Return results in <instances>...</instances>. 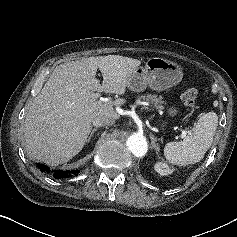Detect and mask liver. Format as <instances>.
I'll use <instances>...</instances> for the list:
<instances>
[{
    "label": "liver",
    "mask_w": 237,
    "mask_h": 237,
    "mask_svg": "<svg viewBox=\"0 0 237 237\" xmlns=\"http://www.w3.org/2000/svg\"><path fill=\"white\" fill-rule=\"evenodd\" d=\"M141 61L119 55L88 57L57 66L34 99L24 122L27 152L49 165L63 164L76 156L87 142L98 116L119 118L115 105L102 102L93 91L123 95L129 76ZM102 84L95 77L97 70Z\"/></svg>",
    "instance_id": "liver-1"
}]
</instances>
